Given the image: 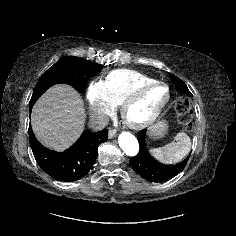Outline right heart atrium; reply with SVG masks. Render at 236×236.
Masks as SVG:
<instances>
[{
  "label": "right heart atrium",
  "instance_id": "1",
  "mask_svg": "<svg viewBox=\"0 0 236 236\" xmlns=\"http://www.w3.org/2000/svg\"><path fill=\"white\" fill-rule=\"evenodd\" d=\"M89 114L92 118L102 121L111 114L114 106L107 100L106 85L103 80L93 81L87 90Z\"/></svg>",
  "mask_w": 236,
  "mask_h": 236
}]
</instances>
